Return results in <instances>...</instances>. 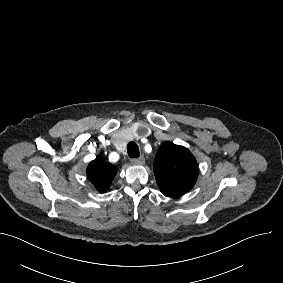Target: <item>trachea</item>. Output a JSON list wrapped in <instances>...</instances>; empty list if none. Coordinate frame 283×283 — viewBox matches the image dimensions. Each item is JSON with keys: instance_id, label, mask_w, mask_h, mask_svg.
<instances>
[{"instance_id": "obj_1", "label": "trachea", "mask_w": 283, "mask_h": 283, "mask_svg": "<svg viewBox=\"0 0 283 283\" xmlns=\"http://www.w3.org/2000/svg\"><path fill=\"white\" fill-rule=\"evenodd\" d=\"M127 152L130 158H138L140 155L139 147L134 141L128 143Z\"/></svg>"}]
</instances>
